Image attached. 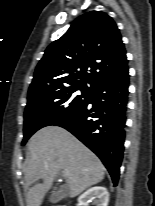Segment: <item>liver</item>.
Listing matches in <instances>:
<instances>
[{"mask_svg": "<svg viewBox=\"0 0 155 206\" xmlns=\"http://www.w3.org/2000/svg\"><path fill=\"white\" fill-rule=\"evenodd\" d=\"M30 160L25 171L27 206H40L54 178L62 171L66 195L76 197L104 178L105 168L98 157L67 130L47 126L28 143ZM40 179L43 183H37Z\"/></svg>", "mask_w": 155, "mask_h": 206, "instance_id": "liver-1", "label": "liver"}]
</instances>
